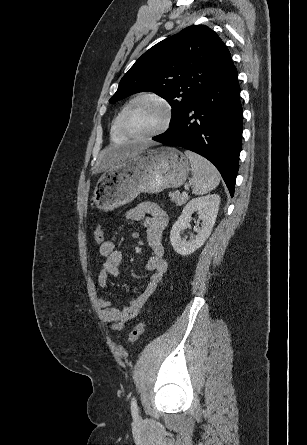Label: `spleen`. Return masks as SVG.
<instances>
[{
	"instance_id": "1",
	"label": "spleen",
	"mask_w": 307,
	"mask_h": 445,
	"mask_svg": "<svg viewBox=\"0 0 307 445\" xmlns=\"http://www.w3.org/2000/svg\"><path fill=\"white\" fill-rule=\"evenodd\" d=\"M185 154L191 164L193 194H206L216 188L221 176L214 164L191 150H185Z\"/></svg>"
}]
</instances>
